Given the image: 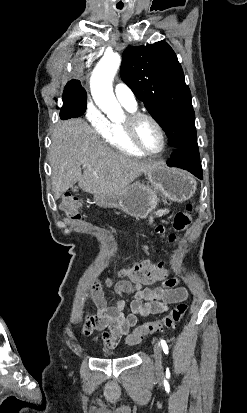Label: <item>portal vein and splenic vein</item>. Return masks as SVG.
Returning a JSON list of instances; mask_svg holds the SVG:
<instances>
[{
  "mask_svg": "<svg viewBox=\"0 0 247 413\" xmlns=\"http://www.w3.org/2000/svg\"><path fill=\"white\" fill-rule=\"evenodd\" d=\"M83 166H87V162H83Z\"/></svg>",
  "mask_w": 247,
  "mask_h": 413,
  "instance_id": "obj_1",
  "label": "portal vein and splenic vein"
}]
</instances>
